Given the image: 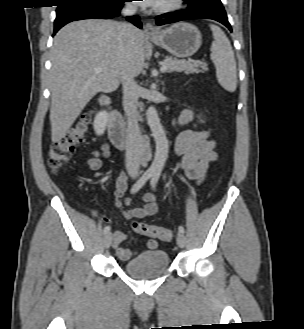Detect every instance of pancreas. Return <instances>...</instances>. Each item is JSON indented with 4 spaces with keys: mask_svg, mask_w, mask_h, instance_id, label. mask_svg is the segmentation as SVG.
<instances>
[{
    "mask_svg": "<svg viewBox=\"0 0 304 329\" xmlns=\"http://www.w3.org/2000/svg\"><path fill=\"white\" fill-rule=\"evenodd\" d=\"M163 64L167 66V72H185L186 74L190 73H200L208 70L207 64L195 61L192 62L190 60H179L177 58H172L166 56Z\"/></svg>",
    "mask_w": 304,
    "mask_h": 329,
    "instance_id": "pancreas-1",
    "label": "pancreas"
}]
</instances>
